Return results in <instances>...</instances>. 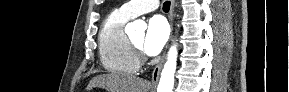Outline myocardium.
Returning <instances> with one entry per match:
<instances>
[{"label": "myocardium", "mask_w": 289, "mask_h": 92, "mask_svg": "<svg viewBox=\"0 0 289 92\" xmlns=\"http://www.w3.org/2000/svg\"><path fill=\"white\" fill-rule=\"evenodd\" d=\"M129 44L138 61L142 60L143 56L141 48L136 46L131 39H129Z\"/></svg>", "instance_id": "obj_1"}]
</instances>
